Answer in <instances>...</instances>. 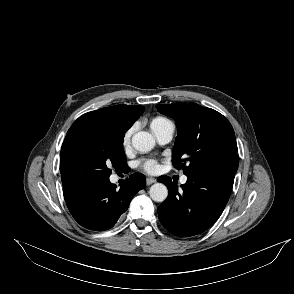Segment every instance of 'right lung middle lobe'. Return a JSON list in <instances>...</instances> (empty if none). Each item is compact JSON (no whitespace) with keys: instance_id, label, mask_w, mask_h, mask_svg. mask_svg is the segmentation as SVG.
<instances>
[{"instance_id":"dd1d6c3e","label":"right lung middle lobe","mask_w":294,"mask_h":294,"mask_svg":"<svg viewBox=\"0 0 294 294\" xmlns=\"http://www.w3.org/2000/svg\"><path fill=\"white\" fill-rule=\"evenodd\" d=\"M125 132L97 124L71 127L63 141L60 155L63 186L109 178L112 169L125 168Z\"/></svg>"}]
</instances>
